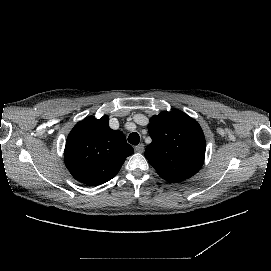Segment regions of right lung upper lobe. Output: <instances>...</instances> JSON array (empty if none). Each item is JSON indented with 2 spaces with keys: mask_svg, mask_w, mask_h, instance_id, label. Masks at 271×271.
<instances>
[{
  "mask_svg": "<svg viewBox=\"0 0 271 271\" xmlns=\"http://www.w3.org/2000/svg\"><path fill=\"white\" fill-rule=\"evenodd\" d=\"M109 118L87 117L77 123L66 140L64 160L81 183L99 185L112 179L133 154L121 131L108 126Z\"/></svg>",
  "mask_w": 271,
  "mask_h": 271,
  "instance_id": "right-lung-upper-lobe-1",
  "label": "right lung upper lobe"
}]
</instances>
